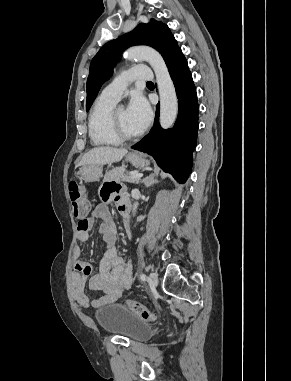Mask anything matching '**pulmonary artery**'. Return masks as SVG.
<instances>
[{
    "mask_svg": "<svg viewBox=\"0 0 291 381\" xmlns=\"http://www.w3.org/2000/svg\"><path fill=\"white\" fill-rule=\"evenodd\" d=\"M152 70L147 65H135L119 73L101 92L102 97L118 101L127 86L134 80L151 81Z\"/></svg>",
    "mask_w": 291,
    "mask_h": 381,
    "instance_id": "e3ab8cb5",
    "label": "pulmonary artery"
}]
</instances>
